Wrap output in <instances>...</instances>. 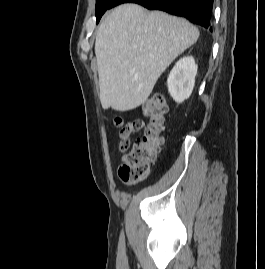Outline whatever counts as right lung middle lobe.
<instances>
[{"mask_svg": "<svg viewBox=\"0 0 265 269\" xmlns=\"http://www.w3.org/2000/svg\"><path fill=\"white\" fill-rule=\"evenodd\" d=\"M114 0H96V19L99 22L104 12L109 9Z\"/></svg>", "mask_w": 265, "mask_h": 269, "instance_id": "dd1d6c3e", "label": "right lung middle lobe"}]
</instances>
